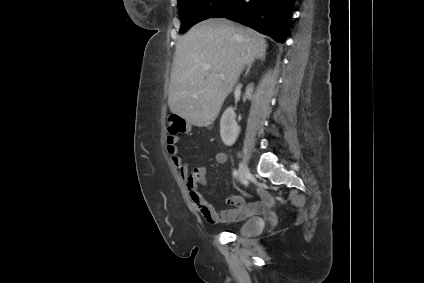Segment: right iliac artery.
<instances>
[{"label": "right iliac artery", "mask_w": 424, "mask_h": 283, "mask_svg": "<svg viewBox=\"0 0 424 283\" xmlns=\"http://www.w3.org/2000/svg\"><path fill=\"white\" fill-rule=\"evenodd\" d=\"M233 175H234V177H237V175H238L237 170H234Z\"/></svg>", "instance_id": "82829eb1"}]
</instances>
